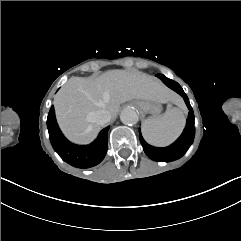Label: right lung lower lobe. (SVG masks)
Instances as JSON below:
<instances>
[{
	"label": "right lung lower lobe",
	"instance_id": "98d812e1",
	"mask_svg": "<svg viewBox=\"0 0 241 241\" xmlns=\"http://www.w3.org/2000/svg\"><path fill=\"white\" fill-rule=\"evenodd\" d=\"M47 127L54 150L68 164L77 168H90L104 159L108 147L107 134L109 126L104 128L91 144L84 146L73 144L60 131L55 118V110L52 106L47 118Z\"/></svg>",
	"mask_w": 241,
	"mask_h": 241
}]
</instances>
